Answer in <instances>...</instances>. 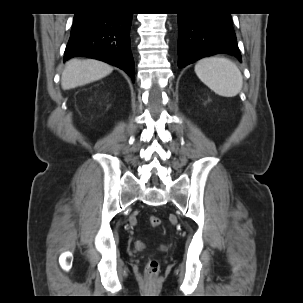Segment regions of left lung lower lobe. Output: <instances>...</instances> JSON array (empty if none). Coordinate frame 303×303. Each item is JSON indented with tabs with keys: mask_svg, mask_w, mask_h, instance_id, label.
I'll return each instance as SVG.
<instances>
[{
	"mask_svg": "<svg viewBox=\"0 0 303 303\" xmlns=\"http://www.w3.org/2000/svg\"><path fill=\"white\" fill-rule=\"evenodd\" d=\"M178 66L203 57L228 54L241 61L229 13L178 14Z\"/></svg>",
	"mask_w": 303,
	"mask_h": 303,
	"instance_id": "0a47b994",
	"label": "left lung lower lobe"
}]
</instances>
